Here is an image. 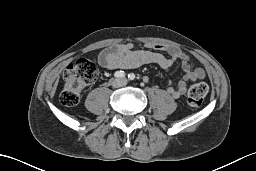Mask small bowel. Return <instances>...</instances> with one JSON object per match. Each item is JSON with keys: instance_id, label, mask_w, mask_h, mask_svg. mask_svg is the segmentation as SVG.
<instances>
[{"instance_id": "obj_1", "label": "small bowel", "mask_w": 256, "mask_h": 171, "mask_svg": "<svg viewBox=\"0 0 256 171\" xmlns=\"http://www.w3.org/2000/svg\"><path fill=\"white\" fill-rule=\"evenodd\" d=\"M176 61L181 63L184 76L176 86H173L169 81L166 91L173 98H180L186 92L187 82L202 80L206 73L178 47L153 43L135 48L134 44L123 43L112 45L103 50L98 57L99 65L108 70L137 69L145 65L156 64L167 72Z\"/></svg>"}]
</instances>
